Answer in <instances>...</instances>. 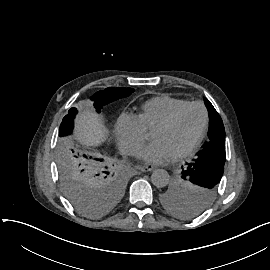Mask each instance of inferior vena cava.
<instances>
[{"label":"inferior vena cava","mask_w":270,"mask_h":270,"mask_svg":"<svg viewBox=\"0 0 270 270\" xmlns=\"http://www.w3.org/2000/svg\"><path fill=\"white\" fill-rule=\"evenodd\" d=\"M119 149H120L122 154H125L128 151L127 147L122 145V144L119 145Z\"/></svg>","instance_id":"inferior-vena-cava-1"}]
</instances>
